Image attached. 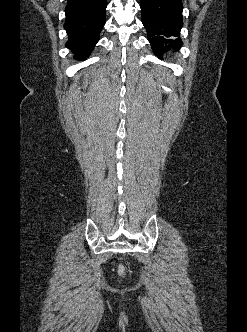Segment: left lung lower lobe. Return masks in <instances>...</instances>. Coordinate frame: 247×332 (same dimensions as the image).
Instances as JSON below:
<instances>
[{
  "label": "left lung lower lobe",
  "mask_w": 247,
  "mask_h": 332,
  "mask_svg": "<svg viewBox=\"0 0 247 332\" xmlns=\"http://www.w3.org/2000/svg\"><path fill=\"white\" fill-rule=\"evenodd\" d=\"M140 7L142 23L155 55L182 45L180 38L168 39L180 35L183 26L181 0H140Z\"/></svg>",
  "instance_id": "1"
}]
</instances>
